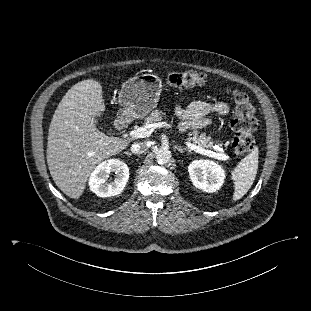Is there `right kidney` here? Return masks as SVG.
I'll return each mask as SVG.
<instances>
[{
    "instance_id": "right-kidney-1",
    "label": "right kidney",
    "mask_w": 311,
    "mask_h": 311,
    "mask_svg": "<svg viewBox=\"0 0 311 311\" xmlns=\"http://www.w3.org/2000/svg\"><path fill=\"white\" fill-rule=\"evenodd\" d=\"M111 172L115 173L112 182L107 183ZM129 179L128 166L119 159H109L99 164L89 178L90 190L99 197H111L121 193Z\"/></svg>"
}]
</instances>
